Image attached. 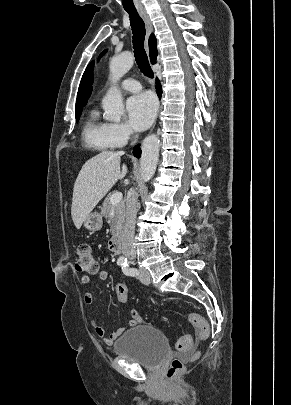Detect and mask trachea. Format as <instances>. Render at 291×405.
<instances>
[{
  "label": "trachea",
  "instance_id": "3493384b",
  "mask_svg": "<svg viewBox=\"0 0 291 405\" xmlns=\"http://www.w3.org/2000/svg\"><path fill=\"white\" fill-rule=\"evenodd\" d=\"M130 17V23L133 33V48L137 65L140 71L148 78H153L154 73L148 61L144 49L145 25L137 11H127Z\"/></svg>",
  "mask_w": 291,
  "mask_h": 405
}]
</instances>
